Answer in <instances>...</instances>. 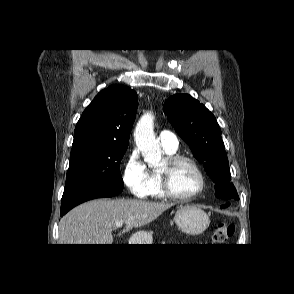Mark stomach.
<instances>
[{
	"instance_id": "stomach-1",
	"label": "stomach",
	"mask_w": 294,
	"mask_h": 294,
	"mask_svg": "<svg viewBox=\"0 0 294 294\" xmlns=\"http://www.w3.org/2000/svg\"><path fill=\"white\" fill-rule=\"evenodd\" d=\"M175 222L177 226L190 235H199L203 233L209 226L210 220L207 214L196 206L180 207L175 214ZM149 235L148 232H138L136 237L139 241H143Z\"/></svg>"
}]
</instances>
